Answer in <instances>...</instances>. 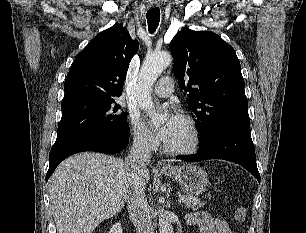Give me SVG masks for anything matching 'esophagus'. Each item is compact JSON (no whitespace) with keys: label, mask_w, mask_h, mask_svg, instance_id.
<instances>
[{"label":"esophagus","mask_w":306,"mask_h":233,"mask_svg":"<svg viewBox=\"0 0 306 233\" xmlns=\"http://www.w3.org/2000/svg\"><path fill=\"white\" fill-rule=\"evenodd\" d=\"M150 6H151V7H155L156 4L151 3ZM168 166H169V165H168L165 161H163V160H159V161L157 162V167H158V168H167Z\"/></svg>","instance_id":"esophagus-1"}]
</instances>
